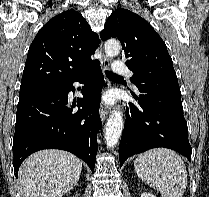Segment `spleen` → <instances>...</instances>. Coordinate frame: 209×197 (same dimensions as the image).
<instances>
[{"mask_svg": "<svg viewBox=\"0 0 209 197\" xmlns=\"http://www.w3.org/2000/svg\"><path fill=\"white\" fill-rule=\"evenodd\" d=\"M138 177L158 190L162 197H182L188 184L182 158L173 150L154 148L134 161Z\"/></svg>", "mask_w": 209, "mask_h": 197, "instance_id": "spleen-1", "label": "spleen"}]
</instances>
